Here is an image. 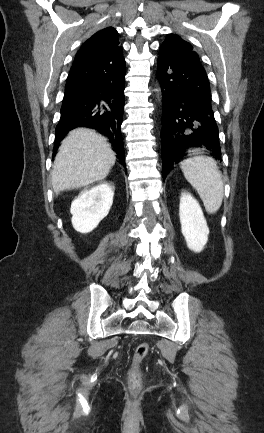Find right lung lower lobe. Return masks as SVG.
<instances>
[{
  "label": "right lung lower lobe",
  "instance_id": "98d812e1",
  "mask_svg": "<svg viewBox=\"0 0 264 433\" xmlns=\"http://www.w3.org/2000/svg\"><path fill=\"white\" fill-rule=\"evenodd\" d=\"M126 63L102 59L74 61L65 86L55 145L72 129L94 128L107 136L125 166L121 133Z\"/></svg>",
  "mask_w": 264,
  "mask_h": 433
}]
</instances>
